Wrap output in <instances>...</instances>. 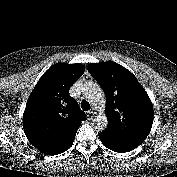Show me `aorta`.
I'll return each instance as SVG.
<instances>
[{
    "instance_id": "obj_1",
    "label": "aorta",
    "mask_w": 177,
    "mask_h": 177,
    "mask_svg": "<svg viewBox=\"0 0 177 177\" xmlns=\"http://www.w3.org/2000/svg\"><path fill=\"white\" fill-rule=\"evenodd\" d=\"M87 90V97L90 100V102L95 106H104L105 99L104 94L100 90V88L95 84H89L88 87H86ZM107 121L104 118L102 124L98 123V127H104L106 126Z\"/></svg>"
}]
</instances>
